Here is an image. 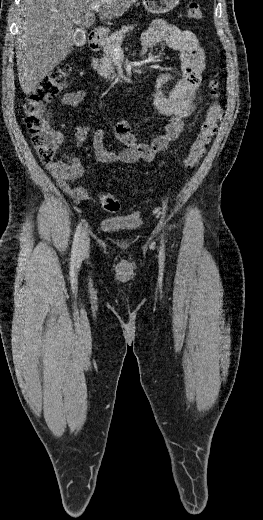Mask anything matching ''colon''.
<instances>
[{"mask_svg": "<svg viewBox=\"0 0 263 520\" xmlns=\"http://www.w3.org/2000/svg\"><path fill=\"white\" fill-rule=\"evenodd\" d=\"M186 16L190 20H200L202 12L197 3H190L186 10ZM70 74L67 64H60L54 68L27 97L24 105V123L30 134L31 143L37 152L39 159L49 163L55 157L59 142L49 130L48 104L66 86ZM211 103L207 106L205 117L200 124L199 132L189 148L184 160L187 168H193L203 157L207 145L217 130L218 122L223 115L220 102V82L215 77L210 83ZM104 210L115 213L121 208L118 198L110 194H104L100 198Z\"/></svg>", "mask_w": 263, "mask_h": 520, "instance_id": "obj_1", "label": "colon"}]
</instances>
